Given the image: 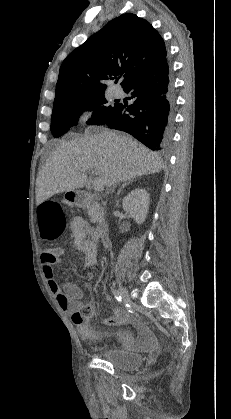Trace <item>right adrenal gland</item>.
Instances as JSON below:
<instances>
[{
    "label": "right adrenal gland",
    "instance_id": "2a0ac1e0",
    "mask_svg": "<svg viewBox=\"0 0 231 419\" xmlns=\"http://www.w3.org/2000/svg\"><path fill=\"white\" fill-rule=\"evenodd\" d=\"M134 180H135V179H132V180H129L128 182L124 183V184L121 186V188L118 190L117 195H119V194L123 191V189H124L127 185H129L130 183H132Z\"/></svg>",
    "mask_w": 231,
    "mask_h": 419
}]
</instances>
